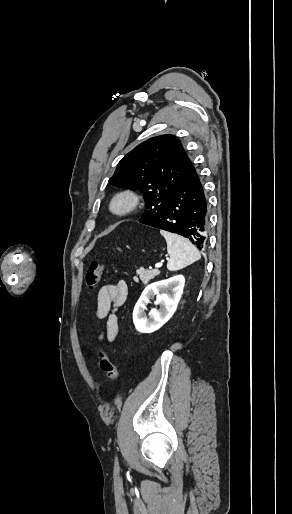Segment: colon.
Listing matches in <instances>:
<instances>
[{
	"mask_svg": "<svg viewBox=\"0 0 292 514\" xmlns=\"http://www.w3.org/2000/svg\"><path fill=\"white\" fill-rule=\"evenodd\" d=\"M106 270V264L100 260H93L90 267L86 270V284L89 289L94 290ZM98 358L101 370L106 374V377L112 382L116 383L119 378L118 369L108 353L105 346L98 349Z\"/></svg>",
	"mask_w": 292,
	"mask_h": 514,
	"instance_id": "1",
	"label": "colon"
}]
</instances>
